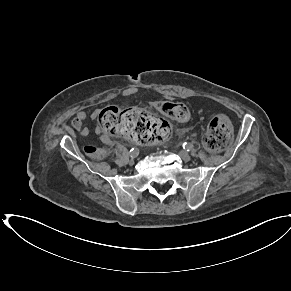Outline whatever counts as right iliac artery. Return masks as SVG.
I'll use <instances>...</instances> for the list:
<instances>
[{
  "label": "right iliac artery",
  "instance_id": "82829eb1",
  "mask_svg": "<svg viewBox=\"0 0 291 291\" xmlns=\"http://www.w3.org/2000/svg\"><path fill=\"white\" fill-rule=\"evenodd\" d=\"M138 154H139V149H138V148H132V149L130 150V156H131L132 158L136 157Z\"/></svg>",
  "mask_w": 291,
  "mask_h": 291
}]
</instances>
